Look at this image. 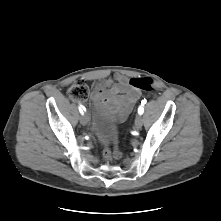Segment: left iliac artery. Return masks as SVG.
<instances>
[{
	"mask_svg": "<svg viewBox=\"0 0 221 221\" xmlns=\"http://www.w3.org/2000/svg\"><path fill=\"white\" fill-rule=\"evenodd\" d=\"M144 104H146V100H142L141 105L144 106ZM142 106H140V107L138 108V113H139L140 115H142L143 112H144V108H143Z\"/></svg>",
	"mask_w": 221,
	"mask_h": 221,
	"instance_id": "left-iliac-artery-1",
	"label": "left iliac artery"
}]
</instances>
